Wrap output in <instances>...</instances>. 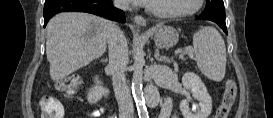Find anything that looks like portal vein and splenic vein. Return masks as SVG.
<instances>
[{"instance_id": "1", "label": "portal vein and splenic vein", "mask_w": 273, "mask_h": 118, "mask_svg": "<svg viewBox=\"0 0 273 118\" xmlns=\"http://www.w3.org/2000/svg\"><path fill=\"white\" fill-rule=\"evenodd\" d=\"M185 50H186V51H189L190 49L186 48Z\"/></svg>"}]
</instances>
